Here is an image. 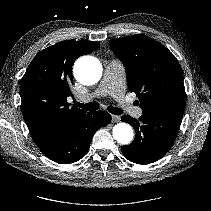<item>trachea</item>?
Segmentation results:
<instances>
[{"label": "trachea", "mask_w": 211, "mask_h": 211, "mask_svg": "<svg viewBox=\"0 0 211 211\" xmlns=\"http://www.w3.org/2000/svg\"><path fill=\"white\" fill-rule=\"evenodd\" d=\"M75 106L85 109L87 111H95L99 108V103L98 102H90L87 104H82L79 102H75ZM108 111L114 115H120L123 113V110L121 108H116L113 106H108Z\"/></svg>", "instance_id": "1"}]
</instances>
